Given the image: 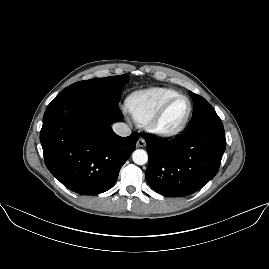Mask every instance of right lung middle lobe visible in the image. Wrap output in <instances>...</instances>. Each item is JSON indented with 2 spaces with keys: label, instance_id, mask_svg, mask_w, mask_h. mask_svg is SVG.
I'll use <instances>...</instances> for the list:
<instances>
[{
  "label": "right lung middle lobe",
  "instance_id": "right-lung-middle-lobe-1",
  "mask_svg": "<svg viewBox=\"0 0 269 269\" xmlns=\"http://www.w3.org/2000/svg\"><path fill=\"white\" fill-rule=\"evenodd\" d=\"M128 75L93 78L76 82L66 87L61 93H79L119 103L120 94L128 82Z\"/></svg>",
  "mask_w": 269,
  "mask_h": 269
}]
</instances>
